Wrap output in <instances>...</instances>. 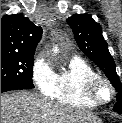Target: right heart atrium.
Wrapping results in <instances>:
<instances>
[{
	"label": "right heart atrium",
	"instance_id": "right-heart-atrium-1",
	"mask_svg": "<svg viewBox=\"0 0 122 123\" xmlns=\"http://www.w3.org/2000/svg\"><path fill=\"white\" fill-rule=\"evenodd\" d=\"M32 80L36 88L46 97L53 94L56 73L50 60L43 55H38L32 65Z\"/></svg>",
	"mask_w": 122,
	"mask_h": 123
}]
</instances>
